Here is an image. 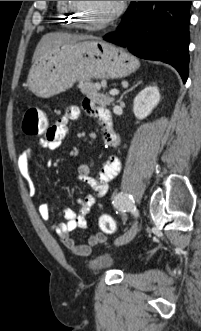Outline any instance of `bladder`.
I'll return each instance as SVG.
<instances>
[{"label":"bladder","mask_w":201,"mask_h":331,"mask_svg":"<svg viewBox=\"0 0 201 331\" xmlns=\"http://www.w3.org/2000/svg\"><path fill=\"white\" fill-rule=\"evenodd\" d=\"M88 265L93 271L107 270L115 266V259L109 253H101L92 257Z\"/></svg>","instance_id":"31cf9c89"}]
</instances>
